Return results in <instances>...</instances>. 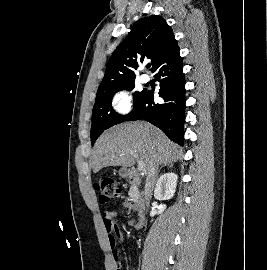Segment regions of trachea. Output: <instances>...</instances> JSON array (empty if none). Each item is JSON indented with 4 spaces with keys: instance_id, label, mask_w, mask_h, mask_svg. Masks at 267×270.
Returning <instances> with one entry per match:
<instances>
[{
    "instance_id": "3493384b",
    "label": "trachea",
    "mask_w": 267,
    "mask_h": 270,
    "mask_svg": "<svg viewBox=\"0 0 267 270\" xmlns=\"http://www.w3.org/2000/svg\"><path fill=\"white\" fill-rule=\"evenodd\" d=\"M146 67H147V68H150V64H148Z\"/></svg>"
}]
</instances>
